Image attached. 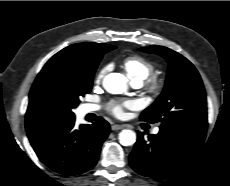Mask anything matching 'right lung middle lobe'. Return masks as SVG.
<instances>
[{"label": "right lung middle lobe", "instance_id": "right-lung-middle-lobe-1", "mask_svg": "<svg viewBox=\"0 0 230 186\" xmlns=\"http://www.w3.org/2000/svg\"><path fill=\"white\" fill-rule=\"evenodd\" d=\"M115 48L106 44L92 62H79L50 71L46 78L45 90L62 120L74 117L72 109L80 103L81 96L90 92L94 72L103 54Z\"/></svg>", "mask_w": 230, "mask_h": 186}]
</instances>
